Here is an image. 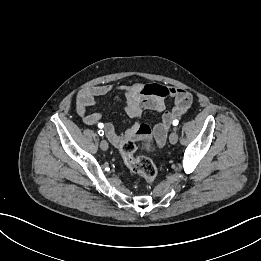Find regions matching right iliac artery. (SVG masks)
<instances>
[{
  "mask_svg": "<svg viewBox=\"0 0 261 261\" xmlns=\"http://www.w3.org/2000/svg\"><path fill=\"white\" fill-rule=\"evenodd\" d=\"M98 127H99V128H103V124H102V123H99V124H98ZM98 134H99L100 136H103V135H104V131H103V130H99V131H98Z\"/></svg>",
  "mask_w": 261,
  "mask_h": 261,
  "instance_id": "right-iliac-artery-1",
  "label": "right iliac artery"
}]
</instances>
